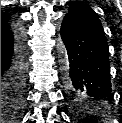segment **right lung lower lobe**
I'll return each mask as SVG.
<instances>
[{
	"mask_svg": "<svg viewBox=\"0 0 122 123\" xmlns=\"http://www.w3.org/2000/svg\"><path fill=\"white\" fill-rule=\"evenodd\" d=\"M26 82V45L18 26L1 21V95L16 101Z\"/></svg>",
	"mask_w": 122,
	"mask_h": 123,
	"instance_id": "right-lung-lower-lobe-1",
	"label": "right lung lower lobe"
}]
</instances>
